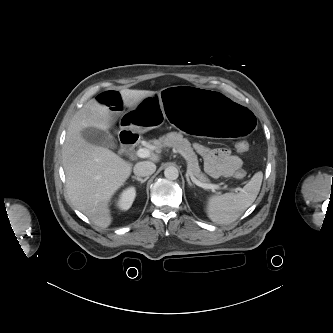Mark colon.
<instances>
[{"instance_id": "5ec220e1", "label": "colon", "mask_w": 333, "mask_h": 333, "mask_svg": "<svg viewBox=\"0 0 333 333\" xmlns=\"http://www.w3.org/2000/svg\"><path fill=\"white\" fill-rule=\"evenodd\" d=\"M249 148V144L246 141H239L236 144V149L238 152H246ZM236 179H243L246 176V172L244 170H237L234 174Z\"/></svg>"}]
</instances>
